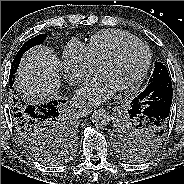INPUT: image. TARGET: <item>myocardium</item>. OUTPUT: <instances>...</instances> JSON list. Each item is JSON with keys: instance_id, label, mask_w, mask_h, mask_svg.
<instances>
[{"instance_id": "1", "label": "myocardium", "mask_w": 184, "mask_h": 184, "mask_svg": "<svg viewBox=\"0 0 184 184\" xmlns=\"http://www.w3.org/2000/svg\"><path fill=\"white\" fill-rule=\"evenodd\" d=\"M132 46L143 47L147 53V58H146V62L144 64L141 72L139 73V75L133 81H131L129 84H127L121 88H118V90L122 91V92H127V91H132V90L137 89L140 86V84L143 82L145 77L147 76L148 71H149L150 66H151V63H152V52H151L149 46L145 42H143L139 39L127 41V42L119 45L113 52H111L108 56H106L99 63V67H98L99 71H101V69L105 65L115 61L126 49H128L129 47H132Z\"/></svg>"}]
</instances>
